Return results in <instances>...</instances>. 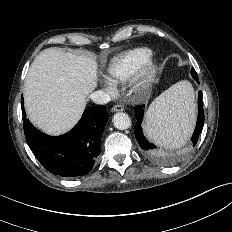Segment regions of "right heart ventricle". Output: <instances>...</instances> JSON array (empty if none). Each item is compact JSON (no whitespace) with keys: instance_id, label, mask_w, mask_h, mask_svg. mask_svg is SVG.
<instances>
[{"instance_id":"right-heart-ventricle-1","label":"right heart ventricle","mask_w":232,"mask_h":232,"mask_svg":"<svg viewBox=\"0 0 232 232\" xmlns=\"http://www.w3.org/2000/svg\"><path fill=\"white\" fill-rule=\"evenodd\" d=\"M148 47H135L113 57L107 66V74L113 81L124 82L134 77L152 58Z\"/></svg>"}]
</instances>
